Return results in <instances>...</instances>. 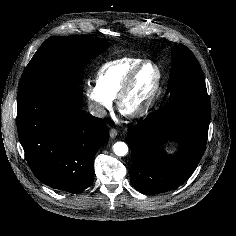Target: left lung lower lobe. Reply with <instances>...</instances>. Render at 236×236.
Here are the masks:
<instances>
[{
	"label": "left lung lower lobe",
	"instance_id": "obj_1",
	"mask_svg": "<svg viewBox=\"0 0 236 236\" xmlns=\"http://www.w3.org/2000/svg\"><path fill=\"white\" fill-rule=\"evenodd\" d=\"M211 115L207 92L174 97L150 117L129 128L132 151L131 183L151 195L177 188L198 166L204 153ZM167 139L181 149L174 155L163 151Z\"/></svg>",
	"mask_w": 236,
	"mask_h": 236
}]
</instances>
